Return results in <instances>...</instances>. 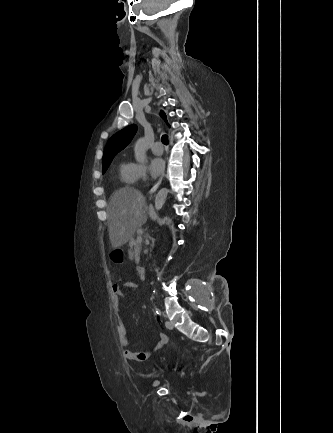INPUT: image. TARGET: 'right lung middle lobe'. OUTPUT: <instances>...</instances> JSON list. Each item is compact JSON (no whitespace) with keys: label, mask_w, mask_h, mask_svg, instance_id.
Returning <instances> with one entry per match:
<instances>
[{"label":"right lung middle lobe","mask_w":333,"mask_h":433,"mask_svg":"<svg viewBox=\"0 0 333 433\" xmlns=\"http://www.w3.org/2000/svg\"><path fill=\"white\" fill-rule=\"evenodd\" d=\"M110 163L103 164V173L107 170Z\"/></svg>","instance_id":"right-lung-middle-lobe-1"}]
</instances>
